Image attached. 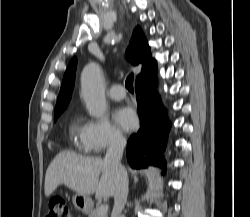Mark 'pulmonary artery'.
Here are the masks:
<instances>
[{"label":"pulmonary artery","mask_w":250,"mask_h":217,"mask_svg":"<svg viewBox=\"0 0 250 217\" xmlns=\"http://www.w3.org/2000/svg\"><path fill=\"white\" fill-rule=\"evenodd\" d=\"M108 96L113 100H122L126 96L125 89L120 84H115L108 90Z\"/></svg>","instance_id":"1"}]
</instances>
